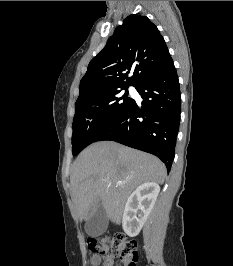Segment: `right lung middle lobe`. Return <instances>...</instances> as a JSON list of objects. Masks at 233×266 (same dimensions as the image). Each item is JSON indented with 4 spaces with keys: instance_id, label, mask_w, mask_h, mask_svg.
Masks as SVG:
<instances>
[{
    "instance_id": "obj_1",
    "label": "right lung middle lobe",
    "mask_w": 233,
    "mask_h": 266,
    "mask_svg": "<svg viewBox=\"0 0 233 266\" xmlns=\"http://www.w3.org/2000/svg\"><path fill=\"white\" fill-rule=\"evenodd\" d=\"M125 89L122 94L121 90ZM128 87L108 90L77 100L73 118L72 150L77 155L111 126L133 103Z\"/></svg>"
}]
</instances>
